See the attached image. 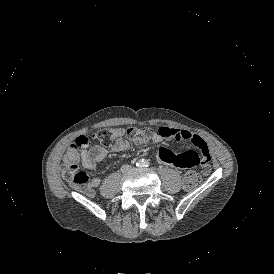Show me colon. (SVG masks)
Here are the masks:
<instances>
[{"label":"colon","mask_w":274,"mask_h":274,"mask_svg":"<svg viewBox=\"0 0 274 274\" xmlns=\"http://www.w3.org/2000/svg\"><path fill=\"white\" fill-rule=\"evenodd\" d=\"M128 137L132 142H141L147 140L151 131L144 128L130 127L126 131H122V128H105L97 133V136L102 140L104 145H111L113 141L122 137ZM88 139L85 133L75 134V146H69L68 151L65 154V161L62 165V172L71 181V183L77 187L89 188V175L86 171L79 169L78 167V151L80 147H87ZM201 174L189 172L184 177V185L187 188H193L197 186L201 181Z\"/></svg>","instance_id":"colon-1"}]
</instances>
